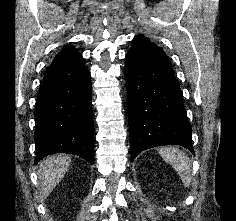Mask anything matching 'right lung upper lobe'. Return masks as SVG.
Segmentation results:
<instances>
[{
	"label": "right lung upper lobe",
	"mask_w": 236,
	"mask_h": 221,
	"mask_svg": "<svg viewBox=\"0 0 236 221\" xmlns=\"http://www.w3.org/2000/svg\"><path fill=\"white\" fill-rule=\"evenodd\" d=\"M79 55L80 54L76 51V49L73 46L68 45L60 53L56 55V57L52 61V64H56L64 60H68L70 58H74Z\"/></svg>",
	"instance_id": "cb5924a9"
}]
</instances>
